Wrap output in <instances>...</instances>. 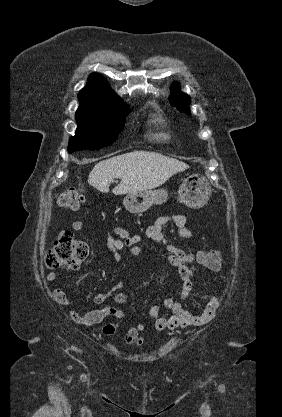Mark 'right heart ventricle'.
Returning a JSON list of instances; mask_svg holds the SVG:
<instances>
[{"mask_svg": "<svg viewBox=\"0 0 282 417\" xmlns=\"http://www.w3.org/2000/svg\"><path fill=\"white\" fill-rule=\"evenodd\" d=\"M155 137L161 138V137H164V134L162 132H158L155 134Z\"/></svg>", "mask_w": 282, "mask_h": 417, "instance_id": "obj_1", "label": "right heart ventricle"}]
</instances>
